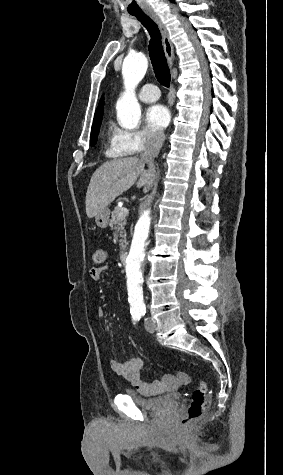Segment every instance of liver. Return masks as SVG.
<instances>
[{
    "label": "liver",
    "instance_id": "6515ba94",
    "mask_svg": "<svg viewBox=\"0 0 283 475\" xmlns=\"http://www.w3.org/2000/svg\"><path fill=\"white\" fill-rule=\"evenodd\" d=\"M146 162L139 158H118L102 164L94 172L88 190L86 192V214L87 218H94L117 196L127 192L137 178V188L144 186V194L150 190L154 176H149L144 170Z\"/></svg>",
    "mask_w": 283,
    "mask_h": 475
}]
</instances>
